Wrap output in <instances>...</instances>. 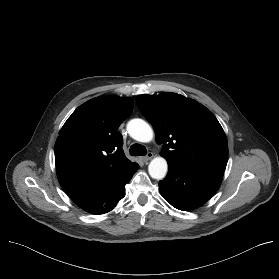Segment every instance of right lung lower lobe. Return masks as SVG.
Returning <instances> with one entry per match:
<instances>
[{"mask_svg":"<svg viewBox=\"0 0 279 279\" xmlns=\"http://www.w3.org/2000/svg\"><path fill=\"white\" fill-rule=\"evenodd\" d=\"M138 167L139 165L135 164L134 167L109 184L71 199L79 207L92 214L107 213L125 196L124 186L131 180Z\"/></svg>","mask_w":279,"mask_h":279,"instance_id":"obj_1","label":"right lung lower lobe"}]
</instances>
